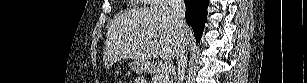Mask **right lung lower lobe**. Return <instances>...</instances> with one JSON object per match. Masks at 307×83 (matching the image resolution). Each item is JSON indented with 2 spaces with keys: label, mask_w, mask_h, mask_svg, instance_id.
<instances>
[{
  "label": "right lung lower lobe",
  "mask_w": 307,
  "mask_h": 83,
  "mask_svg": "<svg viewBox=\"0 0 307 83\" xmlns=\"http://www.w3.org/2000/svg\"><path fill=\"white\" fill-rule=\"evenodd\" d=\"M186 5L185 18L192 27L197 42L200 41L207 18L209 0H184Z\"/></svg>",
  "instance_id": "1"
}]
</instances>
